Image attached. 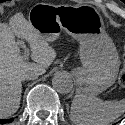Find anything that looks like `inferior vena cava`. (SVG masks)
Segmentation results:
<instances>
[{"mask_svg": "<svg viewBox=\"0 0 125 125\" xmlns=\"http://www.w3.org/2000/svg\"><path fill=\"white\" fill-rule=\"evenodd\" d=\"M38 76H39V75H38V73H36V72H29V73L24 74V75L21 77V79H22V80H34V79H36Z\"/></svg>", "mask_w": 125, "mask_h": 125, "instance_id": "obj_1", "label": "inferior vena cava"}]
</instances>
